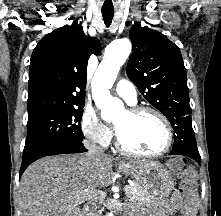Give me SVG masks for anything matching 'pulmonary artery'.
<instances>
[{"label":"pulmonary artery","mask_w":221,"mask_h":216,"mask_svg":"<svg viewBox=\"0 0 221 216\" xmlns=\"http://www.w3.org/2000/svg\"><path fill=\"white\" fill-rule=\"evenodd\" d=\"M115 91L127 103L131 105L135 104L137 96L136 88L129 80H119L115 85Z\"/></svg>","instance_id":"pulmonary-artery-1"}]
</instances>
